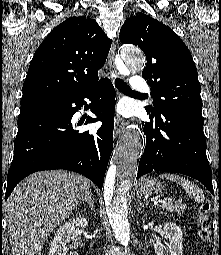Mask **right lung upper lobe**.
Here are the masks:
<instances>
[{
    "mask_svg": "<svg viewBox=\"0 0 221 255\" xmlns=\"http://www.w3.org/2000/svg\"><path fill=\"white\" fill-rule=\"evenodd\" d=\"M111 40L97 22L70 17L54 28L36 50L23 84L21 105L69 96L99 80Z\"/></svg>",
    "mask_w": 221,
    "mask_h": 255,
    "instance_id": "cb5924a9",
    "label": "right lung upper lobe"
}]
</instances>
